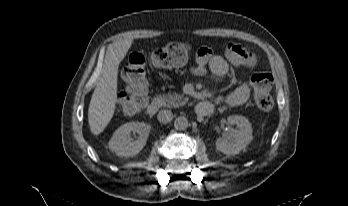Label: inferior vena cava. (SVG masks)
<instances>
[{
	"mask_svg": "<svg viewBox=\"0 0 348 206\" xmlns=\"http://www.w3.org/2000/svg\"><path fill=\"white\" fill-rule=\"evenodd\" d=\"M157 118L163 124L169 123L173 119V113L170 110L159 111Z\"/></svg>",
	"mask_w": 348,
	"mask_h": 206,
	"instance_id": "inferior-vena-cava-1",
	"label": "inferior vena cava"
}]
</instances>
